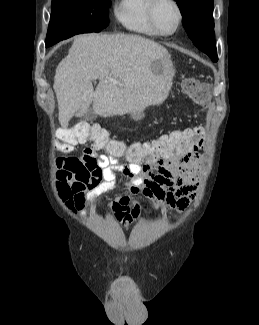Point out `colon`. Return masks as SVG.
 Segmentation results:
<instances>
[{"instance_id": "5ec220e1", "label": "colon", "mask_w": 259, "mask_h": 325, "mask_svg": "<svg viewBox=\"0 0 259 325\" xmlns=\"http://www.w3.org/2000/svg\"><path fill=\"white\" fill-rule=\"evenodd\" d=\"M182 90L197 104L206 105L210 100V88L195 78L184 79ZM206 134L207 129L203 125H194L193 128L173 131L151 141L127 145L121 140L110 138L106 130L98 125L82 123L62 130L54 141V147L60 152H68L77 142L90 141L94 149H102L108 155L143 162L175 149H199V142L204 141Z\"/></svg>"}]
</instances>
